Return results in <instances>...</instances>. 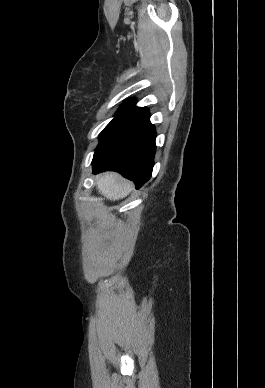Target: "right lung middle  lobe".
<instances>
[{
    "mask_svg": "<svg viewBox=\"0 0 265 388\" xmlns=\"http://www.w3.org/2000/svg\"><path fill=\"white\" fill-rule=\"evenodd\" d=\"M145 107H136L134 101L125 103L117 112L114 119L105 127L100 133L99 145L107 141L114 134H116L121 128L129 123L134 117H136ZM98 145V146H99Z\"/></svg>",
    "mask_w": 265,
    "mask_h": 388,
    "instance_id": "1",
    "label": "right lung middle lobe"
}]
</instances>
